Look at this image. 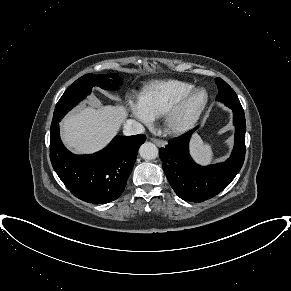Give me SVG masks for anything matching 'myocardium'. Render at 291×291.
Listing matches in <instances>:
<instances>
[{
	"instance_id": "myocardium-1",
	"label": "myocardium",
	"mask_w": 291,
	"mask_h": 291,
	"mask_svg": "<svg viewBox=\"0 0 291 291\" xmlns=\"http://www.w3.org/2000/svg\"><path fill=\"white\" fill-rule=\"evenodd\" d=\"M202 94L201 102L192 110H189L193 98ZM209 102V96L203 88H193L177 100L163 115L164 128L167 133L181 135L192 129L204 113Z\"/></svg>"
}]
</instances>
